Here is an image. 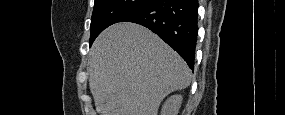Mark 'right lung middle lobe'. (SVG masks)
I'll use <instances>...</instances> for the list:
<instances>
[{
	"mask_svg": "<svg viewBox=\"0 0 285 115\" xmlns=\"http://www.w3.org/2000/svg\"><path fill=\"white\" fill-rule=\"evenodd\" d=\"M150 0H95L91 18L90 46L95 38L121 17L139 8Z\"/></svg>",
	"mask_w": 285,
	"mask_h": 115,
	"instance_id": "right-lung-middle-lobe-1",
	"label": "right lung middle lobe"
}]
</instances>
